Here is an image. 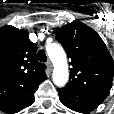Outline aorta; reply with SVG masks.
<instances>
[{
    "mask_svg": "<svg viewBox=\"0 0 114 114\" xmlns=\"http://www.w3.org/2000/svg\"><path fill=\"white\" fill-rule=\"evenodd\" d=\"M47 53L54 65L53 82L55 85L62 87L67 83L69 78L66 54L63 48L55 43L47 46Z\"/></svg>",
    "mask_w": 114,
    "mask_h": 114,
    "instance_id": "aorta-1",
    "label": "aorta"
}]
</instances>
